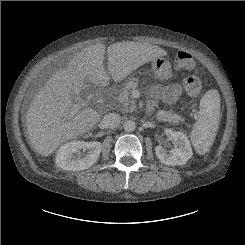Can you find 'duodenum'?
I'll return each instance as SVG.
<instances>
[{
	"label": "duodenum",
	"instance_id": "duodenum-1",
	"mask_svg": "<svg viewBox=\"0 0 245 245\" xmlns=\"http://www.w3.org/2000/svg\"><path fill=\"white\" fill-rule=\"evenodd\" d=\"M106 110L107 111H113L114 110V106L111 102L106 103Z\"/></svg>",
	"mask_w": 245,
	"mask_h": 245
}]
</instances>
